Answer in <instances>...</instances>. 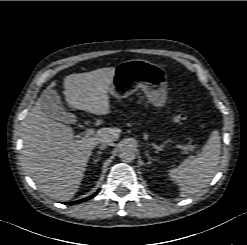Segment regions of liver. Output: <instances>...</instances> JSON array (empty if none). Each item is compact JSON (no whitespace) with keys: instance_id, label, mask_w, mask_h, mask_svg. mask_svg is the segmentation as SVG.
<instances>
[{"instance_id":"obj_1","label":"liver","mask_w":247,"mask_h":245,"mask_svg":"<svg viewBox=\"0 0 247 245\" xmlns=\"http://www.w3.org/2000/svg\"><path fill=\"white\" fill-rule=\"evenodd\" d=\"M115 67L100 68L64 78V96L72 109L95 115H108L110 87ZM53 81L49 88L55 87ZM119 128H101L93 137L75 136L70 126L49 118L38 99L23 121V164L37 185L48 197L70 200L78 191L92 149L103 139L112 143L120 136Z\"/></svg>"}]
</instances>
